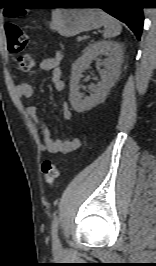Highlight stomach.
Instances as JSON below:
<instances>
[{"instance_id":"obj_1","label":"stomach","mask_w":156,"mask_h":266,"mask_svg":"<svg viewBox=\"0 0 156 266\" xmlns=\"http://www.w3.org/2000/svg\"><path fill=\"white\" fill-rule=\"evenodd\" d=\"M66 5L82 7L78 3ZM103 25L101 10L84 8H58L52 12L50 27L60 35L71 37L81 32L91 31Z\"/></svg>"}]
</instances>
